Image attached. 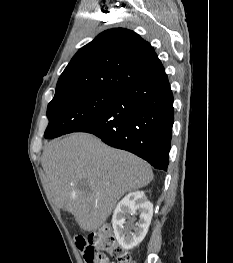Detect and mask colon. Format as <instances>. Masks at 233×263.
Returning <instances> with one entry per match:
<instances>
[{"label":"colon","mask_w":233,"mask_h":263,"mask_svg":"<svg viewBox=\"0 0 233 263\" xmlns=\"http://www.w3.org/2000/svg\"><path fill=\"white\" fill-rule=\"evenodd\" d=\"M77 245L86 263H108L109 257L115 258L117 263H135L131 254L118 244L114 233L107 226L90 234L88 239L77 238Z\"/></svg>","instance_id":"obj_1"}]
</instances>
